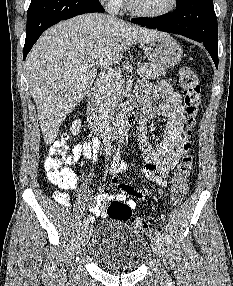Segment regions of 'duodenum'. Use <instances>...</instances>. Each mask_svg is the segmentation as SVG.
Here are the masks:
<instances>
[{
    "mask_svg": "<svg viewBox=\"0 0 233 286\" xmlns=\"http://www.w3.org/2000/svg\"><path fill=\"white\" fill-rule=\"evenodd\" d=\"M86 114L89 123V128L93 132H102L104 134H109L111 131H116L119 128L135 124L141 120L137 107L129 106L124 112L121 120L110 127L101 116L98 103H97V89L94 88L88 96Z\"/></svg>",
    "mask_w": 233,
    "mask_h": 286,
    "instance_id": "410a0bca",
    "label": "duodenum"
}]
</instances>
